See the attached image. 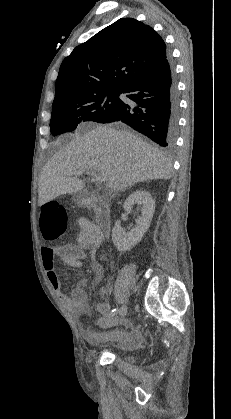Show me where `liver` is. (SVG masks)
Wrapping results in <instances>:
<instances>
[{
  "label": "liver",
  "instance_id": "liver-1",
  "mask_svg": "<svg viewBox=\"0 0 231 419\" xmlns=\"http://www.w3.org/2000/svg\"><path fill=\"white\" fill-rule=\"evenodd\" d=\"M77 170L106 175V188L122 191L138 182L170 179L167 157L137 135L112 126H97L61 148L39 177V205L64 194L81 191L86 179Z\"/></svg>",
  "mask_w": 231,
  "mask_h": 419
}]
</instances>
